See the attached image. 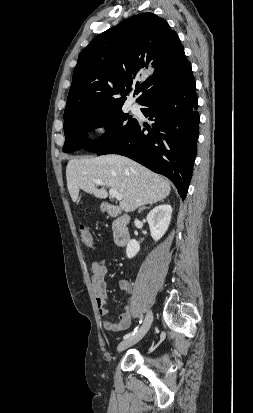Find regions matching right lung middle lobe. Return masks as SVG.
I'll list each match as a JSON object with an SVG mask.
<instances>
[{
	"label": "right lung middle lobe",
	"mask_w": 253,
	"mask_h": 413,
	"mask_svg": "<svg viewBox=\"0 0 253 413\" xmlns=\"http://www.w3.org/2000/svg\"><path fill=\"white\" fill-rule=\"evenodd\" d=\"M128 120V121H126ZM122 111V107L89 112L74 116L64 123L65 143L63 152L79 149L98 152L118 140L136 123ZM105 126L106 133L97 141L87 138L86 131Z\"/></svg>",
	"instance_id": "1"
}]
</instances>
